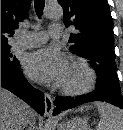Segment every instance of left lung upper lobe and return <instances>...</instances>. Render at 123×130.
Masks as SVG:
<instances>
[{
	"label": "left lung upper lobe",
	"mask_w": 123,
	"mask_h": 130,
	"mask_svg": "<svg viewBox=\"0 0 123 130\" xmlns=\"http://www.w3.org/2000/svg\"><path fill=\"white\" fill-rule=\"evenodd\" d=\"M70 35V50L85 58L97 74V86L120 94L116 75L113 20L106 0H58Z\"/></svg>",
	"instance_id": "1"
}]
</instances>
